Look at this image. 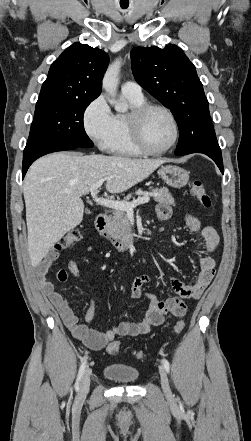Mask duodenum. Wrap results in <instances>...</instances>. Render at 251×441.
<instances>
[{"label": "duodenum", "instance_id": "duodenum-1", "mask_svg": "<svg viewBox=\"0 0 251 441\" xmlns=\"http://www.w3.org/2000/svg\"><path fill=\"white\" fill-rule=\"evenodd\" d=\"M95 226H96V229L99 232V234L102 235L103 237L109 239L111 241V243L113 244V246L118 251H126L129 249V247L132 244L139 242L141 240V237H138L132 241H122V240H119V239L113 237L109 232L108 216L106 214H99L97 216V218L95 220Z\"/></svg>", "mask_w": 251, "mask_h": 441}]
</instances>
